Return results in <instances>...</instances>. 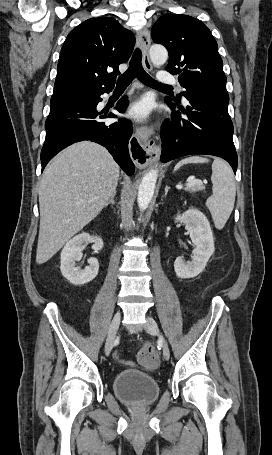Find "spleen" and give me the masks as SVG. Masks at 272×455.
Wrapping results in <instances>:
<instances>
[{"mask_svg":"<svg viewBox=\"0 0 272 455\" xmlns=\"http://www.w3.org/2000/svg\"><path fill=\"white\" fill-rule=\"evenodd\" d=\"M209 159L200 156H191L179 161L174 170L187 163H206ZM212 191L206 205L212 215L215 227L222 229L229 219L234 208L236 185L233 172L229 165L220 158L212 163Z\"/></svg>","mask_w":272,"mask_h":455,"instance_id":"obj_1","label":"spleen"}]
</instances>
